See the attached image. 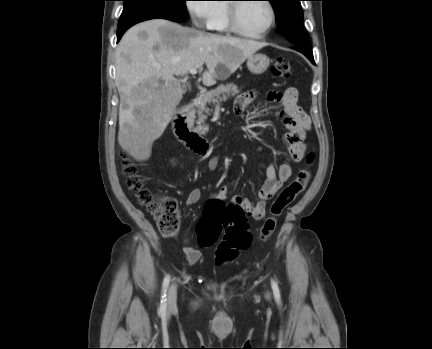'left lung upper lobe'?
<instances>
[{
  "mask_svg": "<svg viewBox=\"0 0 432 349\" xmlns=\"http://www.w3.org/2000/svg\"><path fill=\"white\" fill-rule=\"evenodd\" d=\"M277 16V29L287 40L296 46L311 47L302 25L301 0H268Z\"/></svg>",
  "mask_w": 432,
  "mask_h": 349,
  "instance_id": "left-lung-upper-lobe-1",
  "label": "left lung upper lobe"
}]
</instances>
